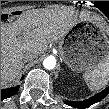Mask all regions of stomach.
Masks as SVG:
<instances>
[{
    "label": "stomach",
    "instance_id": "stomach-1",
    "mask_svg": "<svg viewBox=\"0 0 109 109\" xmlns=\"http://www.w3.org/2000/svg\"><path fill=\"white\" fill-rule=\"evenodd\" d=\"M58 48L64 63L77 73L88 72L109 60L108 34L94 21L80 20L59 40Z\"/></svg>",
    "mask_w": 109,
    "mask_h": 109
}]
</instances>
